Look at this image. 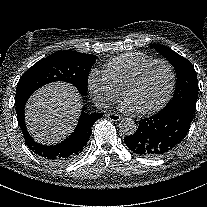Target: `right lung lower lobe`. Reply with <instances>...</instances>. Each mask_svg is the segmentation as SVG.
Wrapping results in <instances>:
<instances>
[{"mask_svg": "<svg viewBox=\"0 0 207 207\" xmlns=\"http://www.w3.org/2000/svg\"><path fill=\"white\" fill-rule=\"evenodd\" d=\"M27 100L21 101L16 106L17 120L20 129L22 130L25 143L28 148L40 159L52 164H65L77 158L83 149L92 133V127L96 120L103 116V113L87 114L82 110L78 125L75 131L64 141L56 145H42L34 141L27 131L24 119V109Z\"/></svg>", "mask_w": 207, "mask_h": 207, "instance_id": "obj_1", "label": "right lung lower lobe"}]
</instances>
